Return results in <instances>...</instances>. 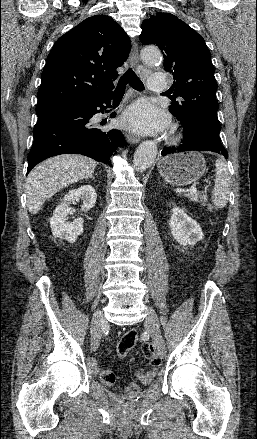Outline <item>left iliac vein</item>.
<instances>
[{"mask_svg":"<svg viewBox=\"0 0 257 439\" xmlns=\"http://www.w3.org/2000/svg\"><path fill=\"white\" fill-rule=\"evenodd\" d=\"M146 324L158 351V355L163 358L166 355V345L161 335L158 317L151 307H148L146 310Z\"/></svg>","mask_w":257,"mask_h":439,"instance_id":"left-iliac-vein-1","label":"left iliac vein"}]
</instances>
